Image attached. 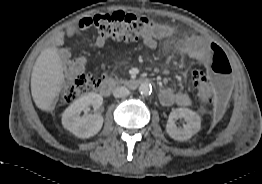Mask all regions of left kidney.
I'll use <instances>...</instances> for the list:
<instances>
[{
	"mask_svg": "<svg viewBox=\"0 0 262 184\" xmlns=\"http://www.w3.org/2000/svg\"><path fill=\"white\" fill-rule=\"evenodd\" d=\"M179 118H184L187 122L183 128H178L174 122L175 119ZM200 129V116L188 108H177L173 110L169 115V120L166 125V132L168 135L177 141L190 139L194 134L199 132Z\"/></svg>",
	"mask_w": 262,
	"mask_h": 184,
	"instance_id": "1",
	"label": "left kidney"
}]
</instances>
